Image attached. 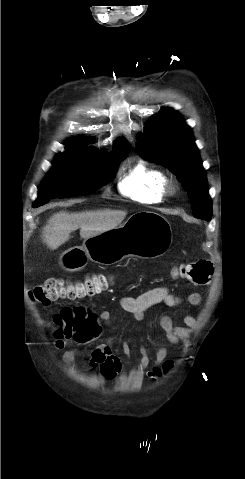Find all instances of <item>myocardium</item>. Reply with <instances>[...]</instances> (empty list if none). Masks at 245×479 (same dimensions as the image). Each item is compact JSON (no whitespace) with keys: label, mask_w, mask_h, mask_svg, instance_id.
<instances>
[{"label":"myocardium","mask_w":245,"mask_h":479,"mask_svg":"<svg viewBox=\"0 0 245 479\" xmlns=\"http://www.w3.org/2000/svg\"><path fill=\"white\" fill-rule=\"evenodd\" d=\"M178 189V186L176 183L174 182H169L167 187H166V193H169V194H174Z\"/></svg>","instance_id":"1"}]
</instances>
